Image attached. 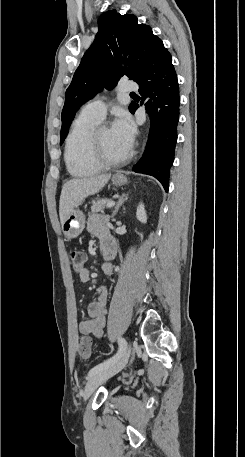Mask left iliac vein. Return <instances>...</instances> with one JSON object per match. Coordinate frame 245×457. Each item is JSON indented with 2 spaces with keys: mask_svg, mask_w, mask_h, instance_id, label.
Returning a JSON list of instances; mask_svg holds the SVG:
<instances>
[{
  "mask_svg": "<svg viewBox=\"0 0 245 457\" xmlns=\"http://www.w3.org/2000/svg\"><path fill=\"white\" fill-rule=\"evenodd\" d=\"M130 349L131 345L129 344L122 356L113 365L89 376L83 395L84 400H87L101 384L125 367L130 357Z\"/></svg>",
  "mask_w": 245,
  "mask_h": 457,
  "instance_id": "4c4485c4",
  "label": "left iliac vein"
}]
</instances>
